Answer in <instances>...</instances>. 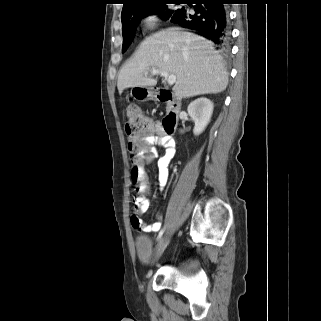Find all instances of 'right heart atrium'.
Returning a JSON list of instances; mask_svg holds the SVG:
<instances>
[{
  "label": "right heart atrium",
  "mask_w": 321,
  "mask_h": 321,
  "mask_svg": "<svg viewBox=\"0 0 321 321\" xmlns=\"http://www.w3.org/2000/svg\"><path fill=\"white\" fill-rule=\"evenodd\" d=\"M157 23L158 17L155 13H148L141 20L142 27L145 31L153 30L156 28Z\"/></svg>",
  "instance_id": "1"
}]
</instances>
